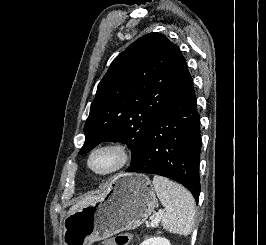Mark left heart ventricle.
Returning a JSON list of instances; mask_svg holds the SVG:
<instances>
[{
  "instance_id": "left-heart-ventricle-1",
  "label": "left heart ventricle",
  "mask_w": 266,
  "mask_h": 245,
  "mask_svg": "<svg viewBox=\"0 0 266 245\" xmlns=\"http://www.w3.org/2000/svg\"><path fill=\"white\" fill-rule=\"evenodd\" d=\"M119 161V154L114 149H104L97 152L92 160L91 166L98 172H107L113 169Z\"/></svg>"
}]
</instances>
